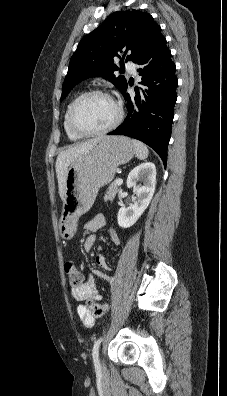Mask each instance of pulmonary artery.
Listing matches in <instances>:
<instances>
[{"instance_id":"pulmonary-artery-1","label":"pulmonary artery","mask_w":227,"mask_h":396,"mask_svg":"<svg viewBox=\"0 0 227 396\" xmlns=\"http://www.w3.org/2000/svg\"><path fill=\"white\" fill-rule=\"evenodd\" d=\"M126 67L131 74H136L137 66L135 63L129 61L126 63Z\"/></svg>"}]
</instances>
